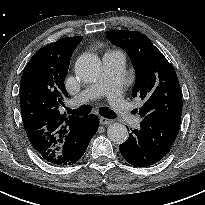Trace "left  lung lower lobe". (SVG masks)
Masks as SVG:
<instances>
[{
  "mask_svg": "<svg viewBox=\"0 0 205 205\" xmlns=\"http://www.w3.org/2000/svg\"><path fill=\"white\" fill-rule=\"evenodd\" d=\"M181 118L142 120L119 145L124 159L133 166L147 167L160 161L171 149L179 132Z\"/></svg>",
  "mask_w": 205,
  "mask_h": 205,
  "instance_id": "1",
  "label": "left lung lower lobe"
}]
</instances>
